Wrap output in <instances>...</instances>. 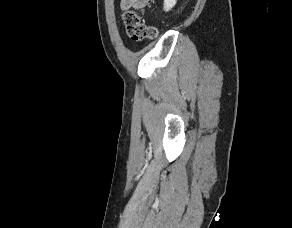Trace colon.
Masks as SVG:
<instances>
[{
  "label": "colon",
  "instance_id": "1",
  "mask_svg": "<svg viewBox=\"0 0 292 228\" xmlns=\"http://www.w3.org/2000/svg\"><path fill=\"white\" fill-rule=\"evenodd\" d=\"M123 22L128 36L134 41L155 39L159 35L158 28L145 25L139 13L134 10H127L123 14Z\"/></svg>",
  "mask_w": 292,
  "mask_h": 228
}]
</instances>
